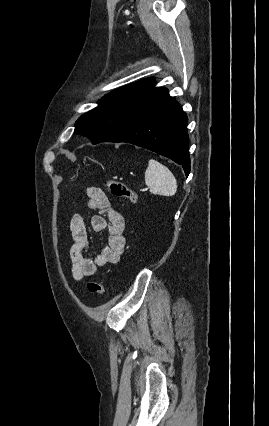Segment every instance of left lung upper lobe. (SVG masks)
<instances>
[{
	"instance_id": "5c2ea615",
	"label": "left lung upper lobe",
	"mask_w": 269,
	"mask_h": 426,
	"mask_svg": "<svg viewBox=\"0 0 269 426\" xmlns=\"http://www.w3.org/2000/svg\"><path fill=\"white\" fill-rule=\"evenodd\" d=\"M155 79L146 78L118 88L99 101V105L83 114L75 123V133L88 136L93 144L102 142L117 125L122 111L134 94L151 84Z\"/></svg>"
}]
</instances>
